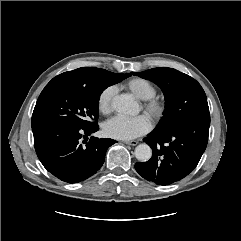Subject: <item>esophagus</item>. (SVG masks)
I'll return each mask as SVG.
<instances>
[{"instance_id": "esophagus-1", "label": "esophagus", "mask_w": 241, "mask_h": 241, "mask_svg": "<svg viewBox=\"0 0 241 241\" xmlns=\"http://www.w3.org/2000/svg\"><path fill=\"white\" fill-rule=\"evenodd\" d=\"M124 143L127 145L136 146L138 144V141H135V140L125 141Z\"/></svg>"}]
</instances>
